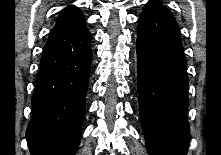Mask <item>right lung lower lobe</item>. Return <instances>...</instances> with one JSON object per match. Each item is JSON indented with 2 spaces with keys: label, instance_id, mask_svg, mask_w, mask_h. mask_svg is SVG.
<instances>
[{
  "label": "right lung lower lobe",
  "instance_id": "right-lung-lower-lobe-1",
  "mask_svg": "<svg viewBox=\"0 0 221 155\" xmlns=\"http://www.w3.org/2000/svg\"><path fill=\"white\" fill-rule=\"evenodd\" d=\"M85 24L53 30L45 44L26 131L31 155H75L78 149L92 58Z\"/></svg>",
  "mask_w": 221,
  "mask_h": 155
}]
</instances>
